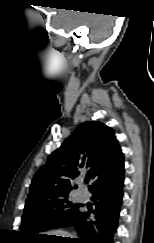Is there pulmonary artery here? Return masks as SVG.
Returning a JSON list of instances; mask_svg holds the SVG:
<instances>
[{"label": "pulmonary artery", "instance_id": "e3ab8cb5", "mask_svg": "<svg viewBox=\"0 0 154 243\" xmlns=\"http://www.w3.org/2000/svg\"><path fill=\"white\" fill-rule=\"evenodd\" d=\"M87 197H88V194L86 192H82L79 195L80 200H83V201L86 200Z\"/></svg>", "mask_w": 154, "mask_h": 243}]
</instances>
